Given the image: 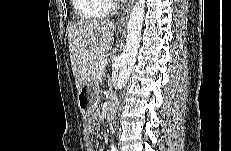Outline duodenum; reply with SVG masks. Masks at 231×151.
Listing matches in <instances>:
<instances>
[{
    "instance_id": "duodenum-1",
    "label": "duodenum",
    "mask_w": 231,
    "mask_h": 151,
    "mask_svg": "<svg viewBox=\"0 0 231 151\" xmlns=\"http://www.w3.org/2000/svg\"><path fill=\"white\" fill-rule=\"evenodd\" d=\"M104 113L105 115H109L111 113V102H107V104L105 105Z\"/></svg>"
}]
</instances>
